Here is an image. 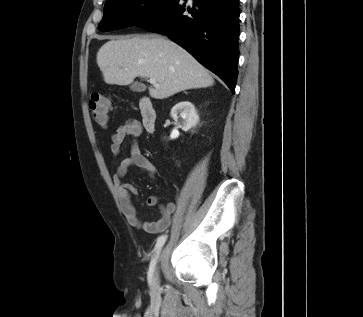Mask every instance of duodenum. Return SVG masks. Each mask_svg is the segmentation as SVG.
I'll list each match as a JSON object with an SVG mask.
<instances>
[{
  "mask_svg": "<svg viewBox=\"0 0 363 317\" xmlns=\"http://www.w3.org/2000/svg\"><path fill=\"white\" fill-rule=\"evenodd\" d=\"M139 110L142 123L146 131L154 133L156 131L157 114L149 98H142L139 102Z\"/></svg>",
  "mask_w": 363,
  "mask_h": 317,
  "instance_id": "1",
  "label": "duodenum"
}]
</instances>
